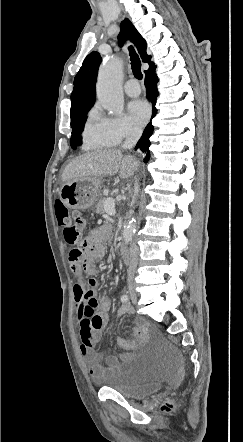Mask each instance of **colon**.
<instances>
[{
  "label": "colon",
  "instance_id": "obj_1",
  "mask_svg": "<svg viewBox=\"0 0 243 442\" xmlns=\"http://www.w3.org/2000/svg\"><path fill=\"white\" fill-rule=\"evenodd\" d=\"M54 209L57 223L63 228L64 239L72 247L68 259L77 264L85 257L86 240L83 234L86 229V221L79 212L71 211L61 200L55 201ZM163 408L170 411L173 404L168 402Z\"/></svg>",
  "mask_w": 243,
  "mask_h": 442
}]
</instances>
